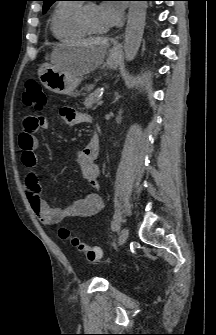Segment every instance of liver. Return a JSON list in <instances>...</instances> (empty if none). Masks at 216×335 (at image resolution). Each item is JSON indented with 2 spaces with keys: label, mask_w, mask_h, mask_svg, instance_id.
<instances>
[{
  "label": "liver",
  "mask_w": 216,
  "mask_h": 335,
  "mask_svg": "<svg viewBox=\"0 0 216 335\" xmlns=\"http://www.w3.org/2000/svg\"><path fill=\"white\" fill-rule=\"evenodd\" d=\"M75 46L78 51L67 61L63 69L76 76H82L103 63L109 40L103 38L83 40Z\"/></svg>",
  "instance_id": "6515ba94"
}]
</instances>
